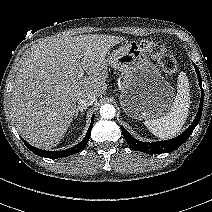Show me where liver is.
<instances>
[{
	"instance_id": "1",
	"label": "liver",
	"mask_w": 212,
	"mask_h": 212,
	"mask_svg": "<svg viewBox=\"0 0 212 212\" xmlns=\"http://www.w3.org/2000/svg\"><path fill=\"white\" fill-rule=\"evenodd\" d=\"M123 40L89 34L53 36L39 43L15 77L11 113L18 132L35 147L56 146L72 123L78 95L99 97L106 91V54ZM80 70L88 75L79 77Z\"/></svg>"
}]
</instances>
